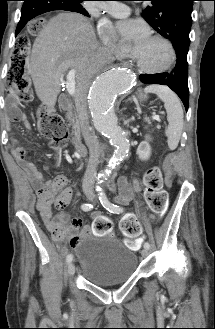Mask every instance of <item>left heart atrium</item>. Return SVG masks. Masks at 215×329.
<instances>
[{"label": "left heart atrium", "mask_w": 215, "mask_h": 329, "mask_svg": "<svg viewBox=\"0 0 215 329\" xmlns=\"http://www.w3.org/2000/svg\"><path fill=\"white\" fill-rule=\"evenodd\" d=\"M117 31L120 36L133 46V51L142 48L150 39L147 25L141 20L127 19L118 22Z\"/></svg>", "instance_id": "39dd6f15"}]
</instances>
